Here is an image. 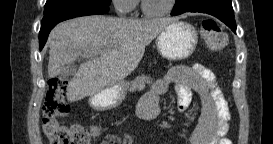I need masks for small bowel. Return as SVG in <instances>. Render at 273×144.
I'll return each mask as SVG.
<instances>
[{
  "instance_id": "c3829d8e",
  "label": "small bowel",
  "mask_w": 273,
  "mask_h": 144,
  "mask_svg": "<svg viewBox=\"0 0 273 144\" xmlns=\"http://www.w3.org/2000/svg\"><path fill=\"white\" fill-rule=\"evenodd\" d=\"M170 84L177 85V106L185 110L191 101V91H196L202 101V111L198 125L189 136L190 144H224L223 136L228 130L230 112L222 89L215 74L208 68L195 65L192 67L176 66L162 78L157 79L140 100L137 113L144 120H152L160 112L159 100ZM121 138L107 136L103 144H120Z\"/></svg>"
}]
</instances>
